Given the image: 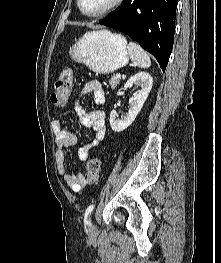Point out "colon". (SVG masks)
Masks as SVG:
<instances>
[{"label":"colon","mask_w":221,"mask_h":263,"mask_svg":"<svg viewBox=\"0 0 221 263\" xmlns=\"http://www.w3.org/2000/svg\"><path fill=\"white\" fill-rule=\"evenodd\" d=\"M72 89V74L71 71L63 70L56 82L55 90L51 95V102L57 107L65 105L71 95ZM101 171V161L98 158H91L86 163V181L88 184L97 182Z\"/></svg>","instance_id":"obj_1"}]
</instances>
